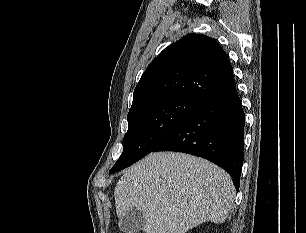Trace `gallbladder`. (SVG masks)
I'll use <instances>...</instances> for the list:
<instances>
[{"label":"gallbladder","instance_id":"bac80fb5","mask_svg":"<svg viewBox=\"0 0 306 233\" xmlns=\"http://www.w3.org/2000/svg\"><path fill=\"white\" fill-rule=\"evenodd\" d=\"M143 225V215L136 209L129 210L119 219V228L123 233H137L142 229Z\"/></svg>","mask_w":306,"mask_h":233}]
</instances>
